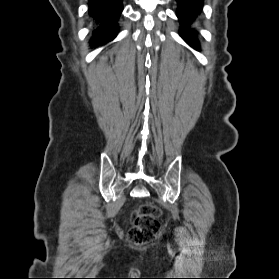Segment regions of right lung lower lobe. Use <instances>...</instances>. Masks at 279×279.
I'll use <instances>...</instances> for the list:
<instances>
[{
  "label": "right lung lower lobe",
  "mask_w": 279,
  "mask_h": 279,
  "mask_svg": "<svg viewBox=\"0 0 279 279\" xmlns=\"http://www.w3.org/2000/svg\"><path fill=\"white\" fill-rule=\"evenodd\" d=\"M123 0H89V15L94 22L92 47L104 45L117 35Z\"/></svg>",
  "instance_id": "right-lung-lower-lobe-1"
}]
</instances>
